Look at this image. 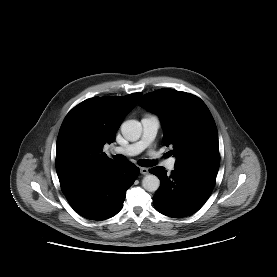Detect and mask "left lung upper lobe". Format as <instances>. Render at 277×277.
<instances>
[{
    "instance_id": "5c2ea615",
    "label": "left lung upper lobe",
    "mask_w": 277,
    "mask_h": 277,
    "mask_svg": "<svg viewBox=\"0 0 277 277\" xmlns=\"http://www.w3.org/2000/svg\"><path fill=\"white\" fill-rule=\"evenodd\" d=\"M139 105L159 115L163 142L174 147L175 168L219 169L216 124L200 98L174 89H159L145 94Z\"/></svg>"
}]
</instances>
